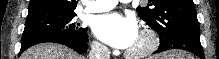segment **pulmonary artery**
<instances>
[{
  "label": "pulmonary artery",
  "instance_id": "obj_1",
  "mask_svg": "<svg viewBox=\"0 0 219 59\" xmlns=\"http://www.w3.org/2000/svg\"><path fill=\"white\" fill-rule=\"evenodd\" d=\"M117 2V0H96L89 3L84 10L89 13L104 12L112 9Z\"/></svg>",
  "mask_w": 219,
  "mask_h": 59
}]
</instances>
